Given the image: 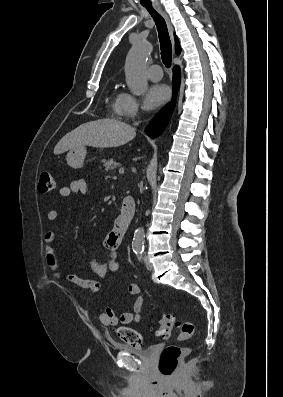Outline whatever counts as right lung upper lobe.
I'll use <instances>...</instances> for the list:
<instances>
[{
    "label": "right lung upper lobe",
    "instance_id": "cb5924a9",
    "mask_svg": "<svg viewBox=\"0 0 283 397\" xmlns=\"http://www.w3.org/2000/svg\"><path fill=\"white\" fill-rule=\"evenodd\" d=\"M174 37H175V50H176V53H177V54H180V52H181L180 44H179V42H178L177 37H176V36H174Z\"/></svg>",
    "mask_w": 283,
    "mask_h": 397
}]
</instances>
